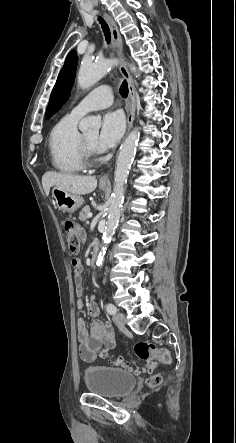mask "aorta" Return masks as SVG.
Returning <instances> with one entry per match:
<instances>
[{
  "mask_svg": "<svg viewBox=\"0 0 236 443\" xmlns=\"http://www.w3.org/2000/svg\"><path fill=\"white\" fill-rule=\"evenodd\" d=\"M117 59H107L102 62L92 63L83 61L81 63L77 81L78 85L82 89L90 88L102 77H104L110 69L117 64ZM132 72H136L134 65L130 66ZM101 127V120L95 116H88L84 118L80 124L79 129L82 132L93 130L98 132ZM139 140V132L133 130L125 139L121 146V150L116 162V168L114 172V188L111 195V202L109 207V214L106 224V229L103 234V247L101 252L97 256L96 265L101 268L104 262V255L106 246L111 241L115 228L119 222L121 215V208L124 202L125 185L127 183V176L131 167L132 160L136 151V146Z\"/></svg>",
  "mask_w": 236,
  "mask_h": 443,
  "instance_id": "762f6f07",
  "label": "aorta"
}]
</instances>
